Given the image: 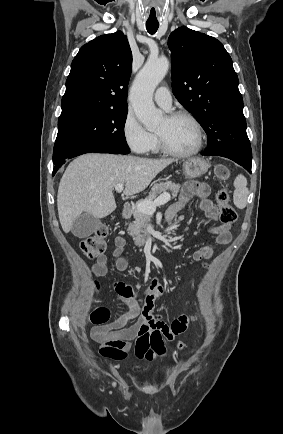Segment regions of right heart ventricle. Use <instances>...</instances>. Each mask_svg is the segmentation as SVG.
Segmentation results:
<instances>
[{"label":"right heart ventricle","instance_id":"e07e8e85","mask_svg":"<svg viewBox=\"0 0 283 434\" xmlns=\"http://www.w3.org/2000/svg\"><path fill=\"white\" fill-rule=\"evenodd\" d=\"M160 146H159V142L158 139L156 138V141L154 143V145L152 146L151 150L154 152H157L159 150Z\"/></svg>","mask_w":283,"mask_h":434}]
</instances>
